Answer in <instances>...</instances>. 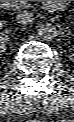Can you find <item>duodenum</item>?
Instances as JSON below:
<instances>
[{"label":"duodenum","instance_id":"obj_1","mask_svg":"<svg viewBox=\"0 0 74 122\" xmlns=\"http://www.w3.org/2000/svg\"><path fill=\"white\" fill-rule=\"evenodd\" d=\"M1 2H2L3 6H5V7H9L13 4V1H1ZM60 2L61 1H45L44 9L47 12H52L59 7Z\"/></svg>","mask_w":74,"mask_h":122}]
</instances>
